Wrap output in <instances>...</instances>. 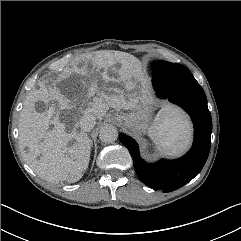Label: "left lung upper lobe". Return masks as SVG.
<instances>
[{
  "mask_svg": "<svg viewBox=\"0 0 241 241\" xmlns=\"http://www.w3.org/2000/svg\"><path fill=\"white\" fill-rule=\"evenodd\" d=\"M151 67L153 71H158L167 80L170 90H177L197 82L191 72L180 64L157 61L152 63Z\"/></svg>",
  "mask_w": 241,
  "mask_h": 241,
  "instance_id": "5c2ea615",
  "label": "left lung upper lobe"
}]
</instances>
